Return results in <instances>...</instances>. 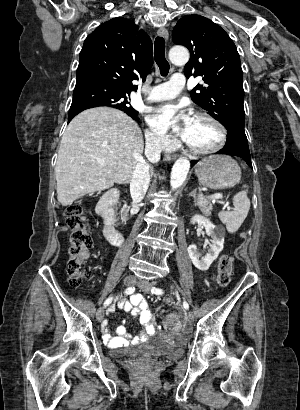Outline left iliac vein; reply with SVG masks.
Instances as JSON below:
<instances>
[{
  "mask_svg": "<svg viewBox=\"0 0 300 410\" xmlns=\"http://www.w3.org/2000/svg\"><path fill=\"white\" fill-rule=\"evenodd\" d=\"M138 286L145 292V293H150V289L152 287V283L146 281V280H140L138 282ZM185 316L187 319L192 320L193 319V313L188 311L185 312Z\"/></svg>",
  "mask_w": 300,
  "mask_h": 410,
  "instance_id": "4c4485c4",
  "label": "left iliac vein"
}]
</instances>
